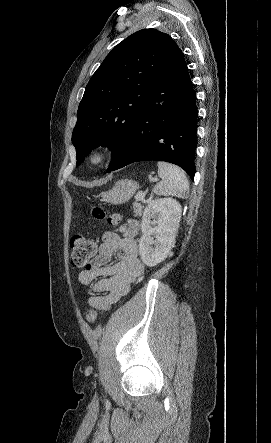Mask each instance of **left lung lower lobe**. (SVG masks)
Segmentation results:
<instances>
[{
	"mask_svg": "<svg viewBox=\"0 0 271 443\" xmlns=\"http://www.w3.org/2000/svg\"><path fill=\"white\" fill-rule=\"evenodd\" d=\"M145 109L134 122L127 144L110 171L138 161H165L194 179L197 107L182 51L178 50L147 89Z\"/></svg>",
	"mask_w": 271,
	"mask_h": 443,
	"instance_id": "obj_1",
	"label": "left lung lower lobe"
}]
</instances>
